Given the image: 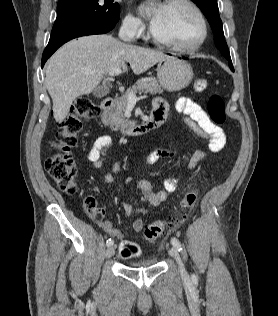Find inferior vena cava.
Segmentation results:
<instances>
[{
  "label": "inferior vena cava",
  "mask_w": 278,
  "mask_h": 316,
  "mask_svg": "<svg viewBox=\"0 0 278 316\" xmlns=\"http://www.w3.org/2000/svg\"><path fill=\"white\" fill-rule=\"evenodd\" d=\"M134 34L133 26L123 24L119 31V38L124 41H130Z\"/></svg>",
  "instance_id": "1"
}]
</instances>
